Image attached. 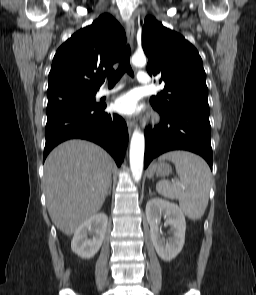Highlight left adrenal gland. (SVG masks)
<instances>
[{
	"instance_id": "left-adrenal-gland-1",
	"label": "left adrenal gland",
	"mask_w": 256,
	"mask_h": 295,
	"mask_svg": "<svg viewBox=\"0 0 256 295\" xmlns=\"http://www.w3.org/2000/svg\"><path fill=\"white\" fill-rule=\"evenodd\" d=\"M152 195H153V193H152L151 189L149 188V196H152Z\"/></svg>"
}]
</instances>
